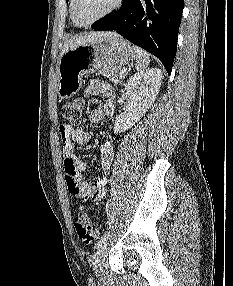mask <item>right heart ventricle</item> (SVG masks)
<instances>
[{
  "label": "right heart ventricle",
  "mask_w": 233,
  "mask_h": 286,
  "mask_svg": "<svg viewBox=\"0 0 233 286\" xmlns=\"http://www.w3.org/2000/svg\"><path fill=\"white\" fill-rule=\"evenodd\" d=\"M71 10V1H70V6H69V12ZM70 17H71V14H70ZM72 20V19H71ZM73 22V21H72ZM74 23V22H73Z\"/></svg>",
  "instance_id": "e07e8e85"
}]
</instances>
